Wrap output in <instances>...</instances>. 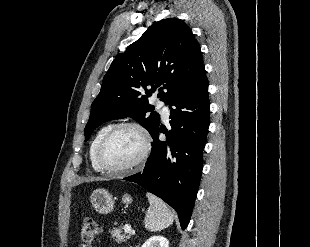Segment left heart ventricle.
<instances>
[{
  "mask_svg": "<svg viewBox=\"0 0 310 247\" xmlns=\"http://www.w3.org/2000/svg\"><path fill=\"white\" fill-rule=\"evenodd\" d=\"M142 150L140 134L130 128L113 135L102 151V161L109 168L124 167L133 162Z\"/></svg>",
  "mask_w": 310,
  "mask_h": 247,
  "instance_id": "left-heart-ventricle-1",
  "label": "left heart ventricle"
}]
</instances>
